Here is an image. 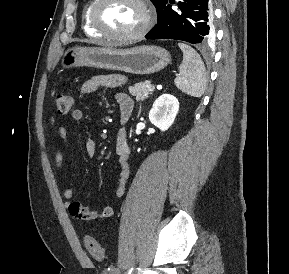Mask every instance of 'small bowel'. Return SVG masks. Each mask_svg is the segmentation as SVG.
Listing matches in <instances>:
<instances>
[{
	"mask_svg": "<svg viewBox=\"0 0 289 274\" xmlns=\"http://www.w3.org/2000/svg\"><path fill=\"white\" fill-rule=\"evenodd\" d=\"M126 83V79L121 75H99L89 78L85 81L81 88L80 92L82 94H90L102 88H117L122 87ZM117 102L119 104L121 114L124 111L129 112L131 114L133 109V101L131 98L124 94L118 93ZM84 118L83 112L80 109H75L71 113V119L74 122H81ZM68 123H64L59 128V145H64L67 142L68 135ZM116 153L119 157L120 171L117 176L116 185L114 188V195L116 199H120L125 191V183L130 174L129 167V146L127 142V130L125 128H121L118 131L116 145H115ZM97 151V144L94 139L89 138L85 142V152L89 157L95 156ZM55 164L59 171L63 169L64 164V155L60 149L57 148L55 153ZM63 196L66 200L65 206L69 210L70 214L84 221H101L103 219L109 218L113 215V208L111 206H105L103 208L97 207H88L82 204L81 202L74 201L73 196L74 192L72 188H66L63 192Z\"/></svg>",
	"mask_w": 289,
	"mask_h": 274,
	"instance_id": "small-bowel-1",
	"label": "small bowel"
}]
</instances>
